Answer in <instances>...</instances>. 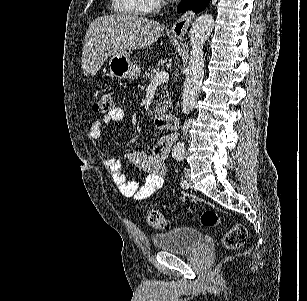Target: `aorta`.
<instances>
[{"label":"aorta","instance_id":"762f6f07","mask_svg":"<svg viewBox=\"0 0 307 301\" xmlns=\"http://www.w3.org/2000/svg\"><path fill=\"white\" fill-rule=\"evenodd\" d=\"M213 28L214 18L212 14H201V16L195 18L191 26L189 34L191 50L181 96V108L184 114H189L196 104L205 68L203 44L209 38ZM174 151L175 153H179V151L183 153L185 144L177 142V144H174Z\"/></svg>","mask_w":307,"mask_h":301}]
</instances>
